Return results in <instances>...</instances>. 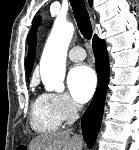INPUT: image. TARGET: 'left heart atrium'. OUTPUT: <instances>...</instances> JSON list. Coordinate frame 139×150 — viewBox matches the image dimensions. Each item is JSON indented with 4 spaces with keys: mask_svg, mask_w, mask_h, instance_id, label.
Returning a JSON list of instances; mask_svg holds the SVG:
<instances>
[{
    "mask_svg": "<svg viewBox=\"0 0 139 150\" xmlns=\"http://www.w3.org/2000/svg\"><path fill=\"white\" fill-rule=\"evenodd\" d=\"M67 84L72 97L79 103H85L95 91L97 84L96 74L87 65L76 66L69 72Z\"/></svg>",
    "mask_w": 139,
    "mask_h": 150,
    "instance_id": "left-heart-atrium-1",
    "label": "left heart atrium"
}]
</instances>
